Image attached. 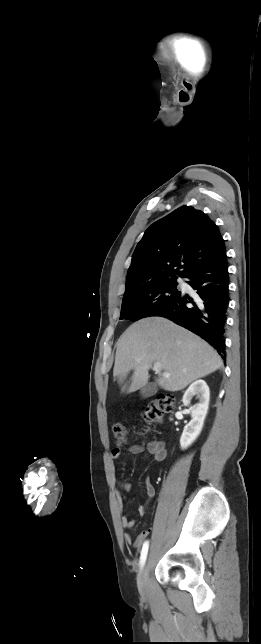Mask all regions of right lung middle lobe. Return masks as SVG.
<instances>
[{"label": "right lung middle lobe", "mask_w": 261, "mask_h": 644, "mask_svg": "<svg viewBox=\"0 0 261 644\" xmlns=\"http://www.w3.org/2000/svg\"><path fill=\"white\" fill-rule=\"evenodd\" d=\"M177 277L148 282L126 289L120 319L137 321L154 316L175 302L181 295L177 289Z\"/></svg>", "instance_id": "obj_1"}]
</instances>
